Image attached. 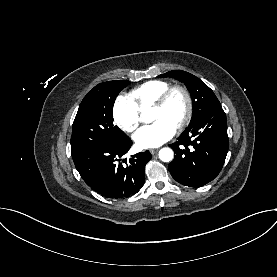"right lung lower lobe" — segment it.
<instances>
[{"instance_id": "1", "label": "right lung lower lobe", "mask_w": 277, "mask_h": 277, "mask_svg": "<svg viewBox=\"0 0 277 277\" xmlns=\"http://www.w3.org/2000/svg\"><path fill=\"white\" fill-rule=\"evenodd\" d=\"M132 145L131 139L121 143H99L72 155L85 183L104 197L120 199L137 193L144 185L145 165L149 151L122 159Z\"/></svg>"}]
</instances>
